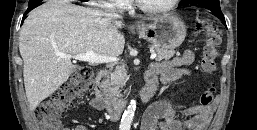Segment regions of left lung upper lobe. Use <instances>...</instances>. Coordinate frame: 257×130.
<instances>
[{
  "label": "left lung upper lobe",
  "mask_w": 257,
  "mask_h": 130,
  "mask_svg": "<svg viewBox=\"0 0 257 130\" xmlns=\"http://www.w3.org/2000/svg\"><path fill=\"white\" fill-rule=\"evenodd\" d=\"M204 2L219 3V0H182L180 5H186V4H191V3L201 4Z\"/></svg>",
  "instance_id": "5c2ea615"
}]
</instances>
